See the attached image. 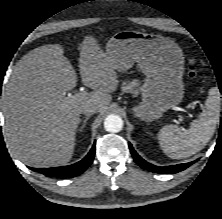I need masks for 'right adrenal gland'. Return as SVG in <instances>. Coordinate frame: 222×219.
I'll use <instances>...</instances> for the list:
<instances>
[{"label": "right adrenal gland", "mask_w": 222, "mask_h": 219, "mask_svg": "<svg viewBox=\"0 0 222 219\" xmlns=\"http://www.w3.org/2000/svg\"><path fill=\"white\" fill-rule=\"evenodd\" d=\"M90 116H91V114H88V115L85 117V119H84L83 122H82L81 127L79 128V131H82V130L85 128V126H86V124H87V121L89 120Z\"/></svg>", "instance_id": "2a0ac1e0"}]
</instances>
